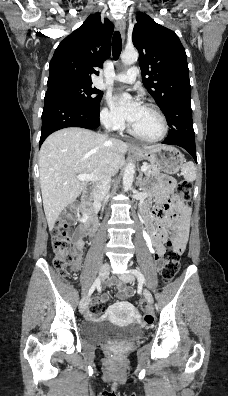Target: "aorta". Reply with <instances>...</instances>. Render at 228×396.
<instances>
[{
	"instance_id": "762f6f07",
	"label": "aorta",
	"mask_w": 228,
	"mask_h": 396,
	"mask_svg": "<svg viewBox=\"0 0 228 396\" xmlns=\"http://www.w3.org/2000/svg\"><path fill=\"white\" fill-rule=\"evenodd\" d=\"M138 60V52L136 50H125L121 55V61L125 65H132ZM130 98L129 95H126ZM135 165L133 163H128L125 167L123 174V189L128 191L131 189L133 179H134Z\"/></svg>"
}]
</instances>
